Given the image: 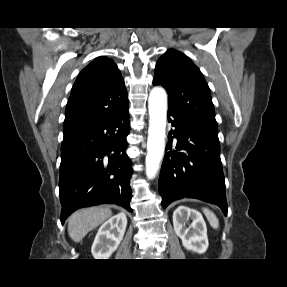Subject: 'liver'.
Segmentation results:
<instances>
[{"instance_id":"obj_1","label":"liver","mask_w":287,"mask_h":287,"mask_svg":"<svg viewBox=\"0 0 287 287\" xmlns=\"http://www.w3.org/2000/svg\"><path fill=\"white\" fill-rule=\"evenodd\" d=\"M112 214L108 207H91L73 213L68 220V234L80 242L91 230L105 222Z\"/></svg>"}]
</instances>
